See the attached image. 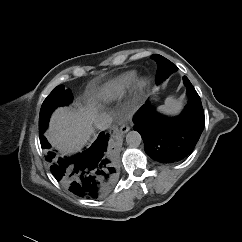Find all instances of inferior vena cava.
I'll return each mask as SVG.
<instances>
[{
    "label": "inferior vena cava",
    "instance_id": "inferior-vena-cava-1",
    "mask_svg": "<svg viewBox=\"0 0 242 242\" xmlns=\"http://www.w3.org/2000/svg\"><path fill=\"white\" fill-rule=\"evenodd\" d=\"M112 116L106 112H102L94 119V127L98 130H106L112 124Z\"/></svg>",
    "mask_w": 242,
    "mask_h": 242
}]
</instances>
